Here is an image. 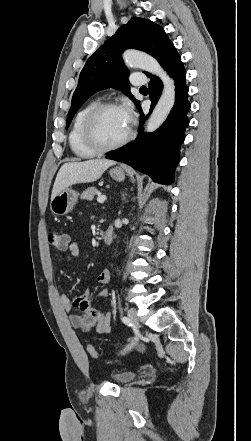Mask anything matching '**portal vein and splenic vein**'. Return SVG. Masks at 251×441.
Instances as JSON below:
<instances>
[{
    "label": "portal vein and splenic vein",
    "mask_w": 251,
    "mask_h": 441,
    "mask_svg": "<svg viewBox=\"0 0 251 441\" xmlns=\"http://www.w3.org/2000/svg\"><path fill=\"white\" fill-rule=\"evenodd\" d=\"M106 199H107L106 196L99 195L98 198H97V202L98 203H104Z\"/></svg>",
    "instance_id": "18ae733b"
}]
</instances>
